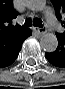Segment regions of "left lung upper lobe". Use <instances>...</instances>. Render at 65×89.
Returning <instances> with one entry per match:
<instances>
[{
    "instance_id": "5c2ea615",
    "label": "left lung upper lobe",
    "mask_w": 65,
    "mask_h": 89,
    "mask_svg": "<svg viewBox=\"0 0 65 89\" xmlns=\"http://www.w3.org/2000/svg\"><path fill=\"white\" fill-rule=\"evenodd\" d=\"M55 6L56 16L58 19H63L62 25L65 28V0H52ZM65 34V31L63 32Z\"/></svg>"
}]
</instances>
